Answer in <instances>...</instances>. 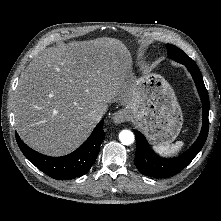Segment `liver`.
<instances>
[{
    "label": "liver",
    "instance_id": "1",
    "mask_svg": "<svg viewBox=\"0 0 221 221\" xmlns=\"http://www.w3.org/2000/svg\"><path fill=\"white\" fill-rule=\"evenodd\" d=\"M131 55L115 38L49 48L22 72L14 97L15 126L34 150L62 156L77 149L98 121L90 113L108 103L128 104Z\"/></svg>",
    "mask_w": 221,
    "mask_h": 221
}]
</instances>
